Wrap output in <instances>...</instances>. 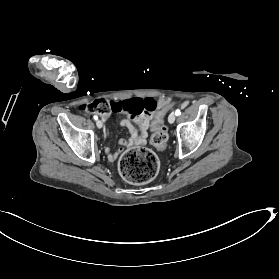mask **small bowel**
<instances>
[{
  "mask_svg": "<svg viewBox=\"0 0 279 279\" xmlns=\"http://www.w3.org/2000/svg\"><path fill=\"white\" fill-rule=\"evenodd\" d=\"M152 117V113H145L139 116L128 117L121 120L120 125L128 129L130 136L129 138L120 139L118 141L120 147L116 152H112L109 147L106 148L105 152L109 160H116L119 154L122 152L123 147L144 144L148 135L149 124Z\"/></svg>",
  "mask_w": 279,
  "mask_h": 279,
  "instance_id": "small-bowel-1",
  "label": "small bowel"
}]
</instances>
